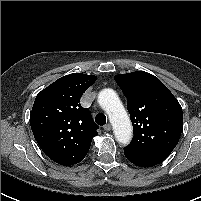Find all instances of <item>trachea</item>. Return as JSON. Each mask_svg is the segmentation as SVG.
<instances>
[{"label":"trachea","instance_id":"3493384b","mask_svg":"<svg viewBox=\"0 0 201 201\" xmlns=\"http://www.w3.org/2000/svg\"><path fill=\"white\" fill-rule=\"evenodd\" d=\"M95 121L98 125H105L106 124V116L103 113H99L96 117H95Z\"/></svg>","mask_w":201,"mask_h":201}]
</instances>
